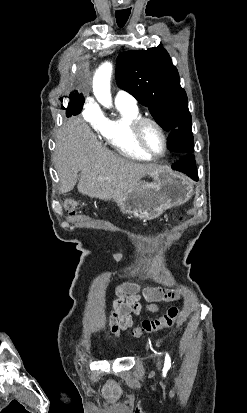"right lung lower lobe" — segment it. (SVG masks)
Masks as SVG:
<instances>
[{"mask_svg":"<svg viewBox=\"0 0 247 413\" xmlns=\"http://www.w3.org/2000/svg\"><path fill=\"white\" fill-rule=\"evenodd\" d=\"M67 111V116L68 117H70L71 115H73L71 112H69L68 110H66Z\"/></svg>","mask_w":247,"mask_h":413,"instance_id":"obj_1","label":"right lung lower lobe"}]
</instances>
